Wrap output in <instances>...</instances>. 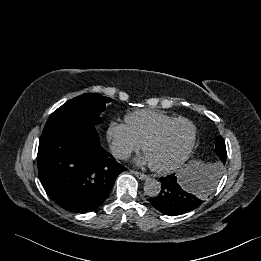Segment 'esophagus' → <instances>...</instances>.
I'll use <instances>...</instances> for the list:
<instances>
[{
  "mask_svg": "<svg viewBox=\"0 0 261 261\" xmlns=\"http://www.w3.org/2000/svg\"><path fill=\"white\" fill-rule=\"evenodd\" d=\"M132 173L137 177L139 178L140 180H146L148 179V175L144 174V173H141V172H138V171H132Z\"/></svg>",
  "mask_w": 261,
  "mask_h": 261,
  "instance_id": "esophagus-1",
  "label": "esophagus"
}]
</instances>
